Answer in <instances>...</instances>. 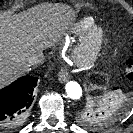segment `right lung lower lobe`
<instances>
[{"label":"right lung lower lobe","mask_w":133,"mask_h":133,"mask_svg":"<svg viewBox=\"0 0 133 133\" xmlns=\"http://www.w3.org/2000/svg\"><path fill=\"white\" fill-rule=\"evenodd\" d=\"M38 78L21 77L0 90V127L12 128L22 123L33 102Z\"/></svg>","instance_id":"obj_1"}]
</instances>
